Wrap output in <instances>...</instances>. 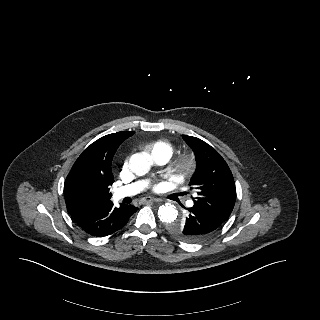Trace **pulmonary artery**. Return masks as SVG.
I'll return each instance as SVG.
<instances>
[{"label": "pulmonary artery", "instance_id": "1", "mask_svg": "<svg viewBox=\"0 0 320 320\" xmlns=\"http://www.w3.org/2000/svg\"><path fill=\"white\" fill-rule=\"evenodd\" d=\"M169 158L170 157L166 155H158V156L152 157L153 161L158 165L166 164ZM146 186H147L146 181H137L135 183L119 187L114 191L113 198L114 200H120V199H123L124 197L135 195L140 191H142ZM187 205L189 207H192L193 202L189 201Z\"/></svg>", "mask_w": 320, "mask_h": 320}]
</instances>
